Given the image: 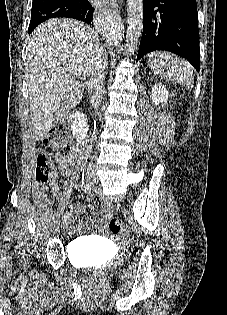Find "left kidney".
I'll use <instances>...</instances> for the list:
<instances>
[{
  "instance_id": "obj_1",
  "label": "left kidney",
  "mask_w": 227,
  "mask_h": 315,
  "mask_svg": "<svg viewBox=\"0 0 227 315\" xmlns=\"http://www.w3.org/2000/svg\"><path fill=\"white\" fill-rule=\"evenodd\" d=\"M168 91L162 84H155L152 87L151 99L155 105L162 104V107L166 106L168 101Z\"/></svg>"
}]
</instances>
